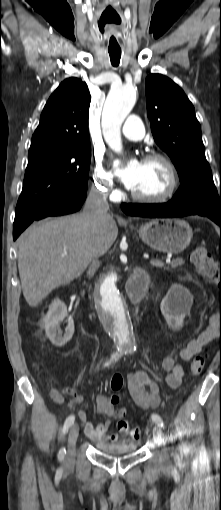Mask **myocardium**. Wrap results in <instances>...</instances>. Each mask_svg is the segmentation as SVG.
Instances as JSON below:
<instances>
[{"mask_svg":"<svg viewBox=\"0 0 221 510\" xmlns=\"http://www.w3.org/2000/svg\"><path fill=\"white\" fill-rule=\"evenodd\" d=\"M149 161H160L163 163L165 168L168 171L169 176V182L167 185V188L158 195L154 196H145L141 194H137L133 191H131V198L137 202L140 203H146V204H156V203H162L170 198L173 197L175 194L177 187H178V173L177 169L172 162V160L165 154L159 153V152H153L148 155H146L143 159V162H149Z\"/></svg>","mask_w":221,"mask_h":510,"instance_id":"obj_1","label":"myocardium"}]
</instances>
